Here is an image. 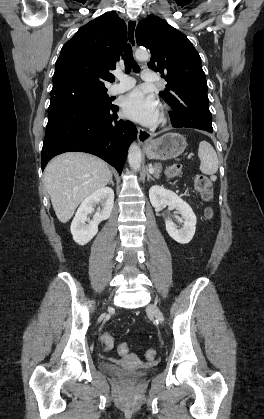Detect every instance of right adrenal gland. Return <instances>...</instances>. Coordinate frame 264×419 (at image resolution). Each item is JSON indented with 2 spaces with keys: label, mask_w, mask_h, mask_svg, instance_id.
<instances>
[{
  "label": "right adrenal gland",
  "mask_w": 264,
  "mask_h": 419,
  "mask_svg": "<svg viewBox=\"0 0 264 419\" xmlns=\"http://www.w3.org/2000/svg\"><path fill=\"white\" fill-rule=\"evenodd\" d=\"M109 184H111L112 186H114V183H113V180H112V176H111V179L109 181Z\"/></svg>",
  "instance_id": "2a0ac1e0"
}]
</instances>
